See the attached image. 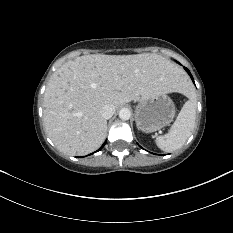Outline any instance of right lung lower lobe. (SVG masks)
Here are the masks:
<instances>
[{
  "label": "right lung lower lobe",
  "instance_id": "98d812e1",
  "mask_svg": "<svg viewBox=\"0 0 233 233\" xmlns=\"http://www.w3.org/2000/svg\"><path fill=\"white\" fill-rule=\"evenodd\" d=\"M105 143H106V142H105ZM105 143L98 149V151L101 150V149L103 148V146L105 145Z\"/></svg>",
  "mask_w": 233,
  "mask_h": 233
}]
</instances>
